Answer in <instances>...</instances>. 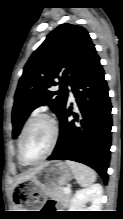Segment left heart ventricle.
Listing matches in <instances>:
<instances>
[{
    "mask_svg": "<svg viewBox=\"0 0 123 219\" xmlns=\"http://www.w3.org/2000/svg\"><path fill=\"white\" fill-rule=\"evenodd\" d=\"M51 128L44 120L34 122L23 142V154L28 161L40 159L47 151L51 141Z\"/></svg>",
    "mask_w": 123,
    "mask_h": 219,
    "instance_id": "b2bd125f",
    "label": "left heart ventricle"
}]
</instances>
